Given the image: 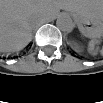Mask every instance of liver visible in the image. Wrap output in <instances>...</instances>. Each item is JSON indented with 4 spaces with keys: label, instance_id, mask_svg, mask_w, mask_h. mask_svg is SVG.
<instances>
[{
    "label": "liver",
    "instance_id": "obj_1",
    "mask_svg": "<svg viewBox=\"0 0 103 103\" xmlns=\"http://www.w3.org/2000/svg\"><path fill=\"white\" fill-rule=\"evenodd\" d=\"M74 0H1L0 42L2 51H18L32 38L38 21H51L60 9L71 11Z\"/></svg>",
    "mask_w": 103,
    "mask_h": 103
}]
</instances>
